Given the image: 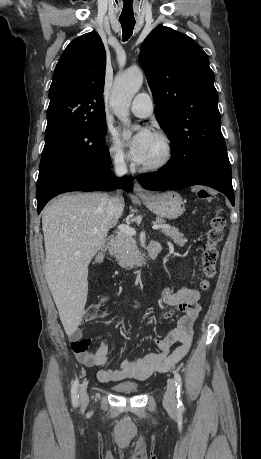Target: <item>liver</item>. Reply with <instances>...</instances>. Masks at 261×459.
<instances>
[{"label":"liver","instance_id":"1","mask_svg":"<svg viewBox=\"0 0 261 459\" xmlns=\"http://www.w3.org/2000/svg\"><path fill=\"white\" fill-rule=\"evenodd\" d=\"M109 199L105 193L65 194L43 211L45 278L68 336L84 314L89 263L118 220L110 215Z\"/></svg>","mask_w":261,"mask_h":459}]
</instances>
